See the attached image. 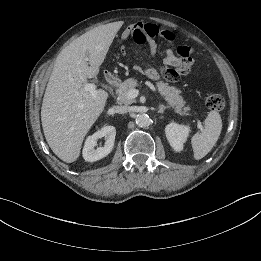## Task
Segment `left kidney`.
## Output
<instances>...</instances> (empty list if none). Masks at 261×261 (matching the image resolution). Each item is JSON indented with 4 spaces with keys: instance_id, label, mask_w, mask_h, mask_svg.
Listing matches in <instances>:
<instances>
[{
    "instance_id": "5707ae66",
    "label": "left kidney",
    "mask_w": 261,
    "mask_h": 261,
    "mask_svg": "<svg viewBox=\"0 0 261 261\" xmlns=\"http://www.w3.org/2000/svg\"><path fill=\"white\" fill-rule=\"evenodd\" d=\"M189 132V126L177 123H170L165 128L166 137L171 147L177 152L183 150V143L186 141Z\"/></svg>"
}]
</instances>
